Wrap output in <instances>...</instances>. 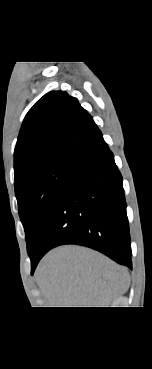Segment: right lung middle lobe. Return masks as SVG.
Instances as JSON below:
<instances>
[{
	"label": "right lung middle lobe",
	"instance_id": "obj_1",
	"mask_svg": "<svg viewBox=\"0 0 152 369\" xmlns=\"http://www.w3.org/2000/svg\"><path fill=\"white\" fill-rule=\"evenodd\" d=\"M73 163L54 162L29 172L15 184L19 215L30 257Z\"/></svg>",
	"mask_w": 152,
	"mask_h": 369
}]
</instances>
